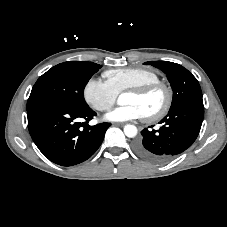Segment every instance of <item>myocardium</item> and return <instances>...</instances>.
Returning a JSON list of instances; mask_svg holds the SVG:
<instances>
[{"label": "myocardium", "mask_w": 227, "mask_h": 227, "mask_svg": "<svg viewBox=\"0 0 227 227\" xmlns=\"http://www.w3.org/2000/svg\"><path fill=\"white\" fill-rule=\"evenodd\" d=\"M158 90L163 92L164 102L160 107V109H158L156 112L152 114L144 115V119L148 122L158 121L168 113L173 102L172 89L164 82L158 81V82H153L140 87L130 88L126 90V93H130L139 97L149 95Z\"/></svg>", "instance_id": "f54148a6"}]
</instances>
